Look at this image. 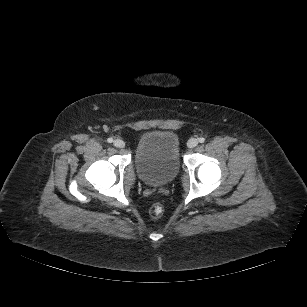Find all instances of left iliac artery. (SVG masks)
I'll list each match as a JSON object with an SVG mask.
<instances>
[{
  "mask_svg": "<svg viewBox=\"0 0 307 307\" xmlns=\"http://www.w3.org/2000/svg\"><path fill=\"white\" fill-rule=\"evenodd\" d=\"M199 142H200V143H204V142H205V138L200 137V138H199Z\"/></svg>",
  "mask_w": 307,
  "mask_h": 307,
  "instance_id": "44dca946",
  "label": "left iliac artery"
}]
</instances>
